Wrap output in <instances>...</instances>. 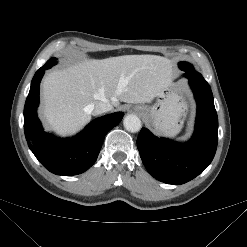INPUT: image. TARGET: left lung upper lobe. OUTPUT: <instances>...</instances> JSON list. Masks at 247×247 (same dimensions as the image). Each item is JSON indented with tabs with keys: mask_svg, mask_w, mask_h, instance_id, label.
Listing matches in <instances>:
<instances>
[{
	"mask_svg": "<svg viewBox=\"0 0 247 247\" xmlns=\"http://www.w3.org/2000/svg\"><path fill=\"white\" fill-rule=\"evenodd\" d=\"M179 67L186 71L187 74H195V75H199L202 76L200 73H197L194 69L193 66L190 63L187 62H180L179 63Z\"/></svg>",
	"mask_w": 247,
	"mask_h": 247,
	"instance_id": "obj_1",
	"label": "left lung upper lobe"
}]
</instances>
